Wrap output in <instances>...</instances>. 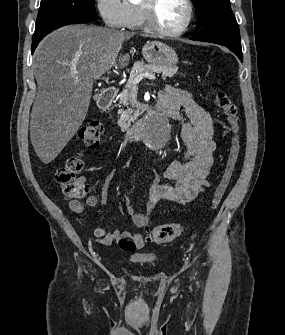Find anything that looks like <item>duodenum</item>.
<instances>
[{
    "label": "duodenum",
    "instance_id": "1",
    "mask_svg": "<svg viewBox=\"0 0 285 335\" xmlns=\"http://www.w3.org/2000/svg\"><path fill=\"white\" fill-rule=\"evenodd\" d=\"M117 95V89L115 87H108L104 89L98 99V106L102 110H106L110 107L111 103ZM156 111L165 117L174 118L177 114L176 108L170 101L159 100L156 106ZM143 120H138L131 125L127 130L126 138L129 141H137L142 136Z\"/></svg>",
    "mask_w": 285,
    "mask_h": 335
}]
</instances>
